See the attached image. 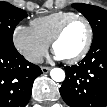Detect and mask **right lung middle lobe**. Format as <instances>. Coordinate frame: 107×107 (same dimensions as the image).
Segmentation results:
<instances>
[{
	"mask_svg": "<svg viewBox=\"0 0 107 107\" xmlns=\"http://www.w3.org/2000/svg\"><path fill=\"white\" fill-rule=\"evenodd\" d=\"M27 17V13L7 2H0V49L16 52L13 32L16 25Z\"/></svg>",
	"mask_w": 107,
	"mask_h": 107,
	"instance_id": "1",
	"label": "right lung middle lobe"
}]
</instances>
